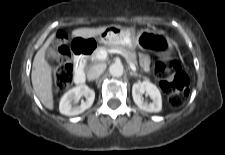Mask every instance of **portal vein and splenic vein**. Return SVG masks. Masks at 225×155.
<instances>
[{
  "label": "portal vein and splenic vein",
  "mask_w": 225,
  "mask_h": 155,
  "mask_svg": "<svg viewBox=\"0 0 225 155\" xmlns=\"http://www.w3.org/2000/svg\"><path fill=\"white\" fill-rule=\"evenodd\" d=\"M108 53H117V54L123 55V56L126 58V60H127L128 64H129L130 68H131L133 71H136L135 65L129 60V58H128L123 52H121V51L118 50V49H110V50H108V51H106V50H101V51H99V52L97 53L96 58H97L98 60H105V59L107 58Z\"/></svg>",
  "instance_id": "portal-vein-and-splenic-vein-1"
}]
</instances>
